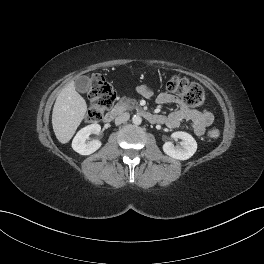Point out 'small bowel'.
Listing matches in <instances>:
<instances>
[{
	"label": "small bowel",
	"mask_w": 264,
	"mask_h": 264,
	"mask_svg": "<svg viewBox=\"0 0 264 264\" xmlns=\"http://www.w3.org/2000/svg\"><path fill=\"white\" fill-rule=\"evenodd\" d=\"M137 92L143 97H150L152 90L146 85L137 87ZM156 103L159 105L174 104L178 109L164 117V122L169 128H178L183 120L189 121L190 130L193 134L201 136L205 129L213 123L214 116L210 110L204 108L197 110L186 105L182 99L171 93H160L156 97Z\"/></svg>",
	"instance_id": "obj_1"
}]
</instances>
